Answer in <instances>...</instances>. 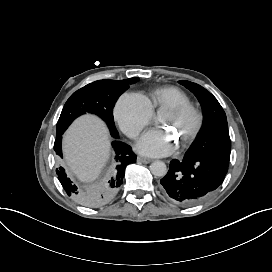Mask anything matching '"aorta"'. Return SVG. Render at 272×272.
<instances>
[{
	"label": "aorta",
	"instance_id": "aorta-1",
	"mask_svg": "<svg viewBox=\"0 0 272 272\" xmlns=\"http://www.w3.org/2000/svg\"><path fill=\"white\" fill-rule=\"evenodd\" d=\"M150 171L154 176L163 177L167 174V166L163 161H154L150 165Z\"/></svg>",
	"mask_w": 272,
	"mask_h": 272
}]
</instances>
